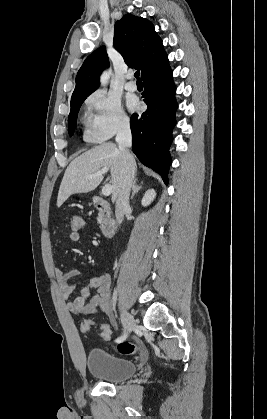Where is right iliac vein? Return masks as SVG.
Wrapping results in <instances>:
<instances>
[{"mask_svg": "<svg viewBox=\"0 0 267 419\" xmlns=\"http://www.w3.org/2000/svg\"><path fill=\"white\" fill-rule=\"evenodd\" d=\"M121 321L124 326V329L127 333H130L134 327V320L132 316L125 310H121Z\"/></svg>", "mask_w": 267, "mask_h": 419, "instance_id": "obj_1", "label": "right iliac vein"}]
</instances>
